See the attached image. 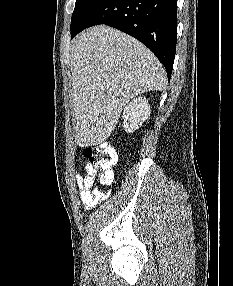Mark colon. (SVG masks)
<instances>
[{
  "instance_id": "obj_1",
  "label": "colon",
  "mask_w": 233,
  "mask_h": 286,
  "mask_svg": "<svg viewBox=\"0 0 233 286\" xmlns=\"http://www.w3.org/2000/svg\"><path fill=\"white\" fill-rule=\"evenodd\" d=\"M84 157L87 159L90 172L98 173L102 184H109L113 180V165L116 162L115 150L103 143L96 146H88L84 149Z\"/></svg>"
}]
</instances>
